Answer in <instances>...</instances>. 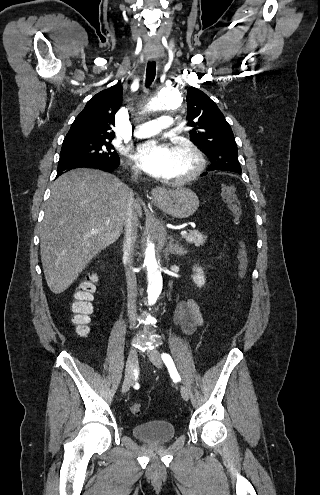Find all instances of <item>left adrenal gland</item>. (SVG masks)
I'll list each match as a JSON object with an SVG mask.
<instances>
[{
    "label": "left adrenal gland",
    "instance_id": "a2214340",
    "mask_svg": "<svg viewBox=\"0 0 320 495\" xmlns=\"http://www.w3.org/2000/svg\"><path fill=\"white\" fill-rule=\"evenodd\" d=\"M174 241L175 240L173 238L170 240V243H169V252L171 254H176V255H180V256L181 255H184L186 253L185 248L182 245H180L178 243V241L176 243H174Z\"/></svg>",
    "mask_w": 320,
    "mask_h": 495
}]
</instances>
